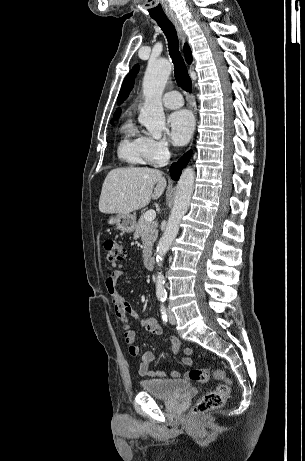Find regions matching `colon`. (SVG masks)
Masks as SVG:
<instances>
[{
    "label": "colon",
    "mask_w": 305,
    "mask_h": 461,
    "mask_svg": "<svg viewBox=\"0 0 305 461\" xmlns=\"http://www.w3.org/2000/svg\"><path fill=\"white\" fill-rule=\"evenodd\" d=\"M104 249L107 261L113 266L119 265L126 259L125 248L115 240H106ZM210 377L221 381L214 389L206 392L200 397L191 409L193 416L220 408L224 405L230 394L232 380L229 375L219 368L192 369L188 373V378L194 382H206Z\"/></svg>",
    "instance_id": "obj_1"
}]
</instances>
